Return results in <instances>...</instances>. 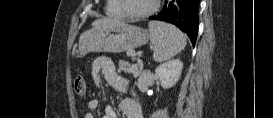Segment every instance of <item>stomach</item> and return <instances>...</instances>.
<instances>
[{"mask_svg":"<svg viewBox=\"0 0 273 118\" xmlns=\"http://www.w3.org/2000/svg\"><path fill=\"white\" fill-rule=\"evenodd\" d=\"M148 40L149 35L146 30L122 21H115L93 27L81 34L78 54L81 57L89 52L120 53L143 46Z\"/></svg>","mask_w":273,"mask_h":118,"instance_id":"obj_1","label":"stomach"}]
</instances>
